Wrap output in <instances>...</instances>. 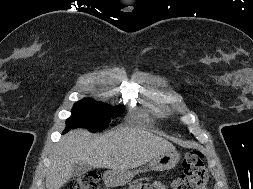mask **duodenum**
Returning a JSON list of instances; mask_svg holds the SVG:
<instances>
[{
    "instance_id": "duodenum-1",
    "label": "duodenum",
    "mask_w": 253,
    "mask_h": 189,
    "mask_svg": "<svg viewBox=\"0 0 253 189\" xmlns=\"http://www.w3.org/2000/svg\"><path fill=\"white\" fill-rule=\"evenodd\" d=\"M112 180H113V174H109L107 177V181L112 182Z\"/></svg>"
}]
</instances>
